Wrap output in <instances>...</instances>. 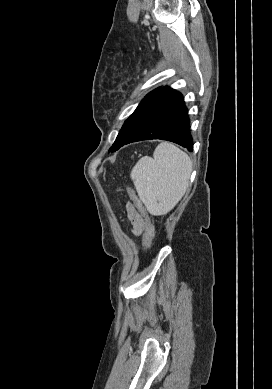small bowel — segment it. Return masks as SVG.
I'll return each instance as SVG.
<instances>
[{
	"label": "small bowel",
	"instance_id": "small-bowel-1",
	"mask_svg": "<svg viewBox=\"0 0 272 389\" xmlns=\"http://www.w3.org/2000/svg\"><path fill=\"white\" fill-rule=\"evenodd\" d=\"M127 215L129 221L131 223L132 232L135 235H140L144 230V220L137 207L132 203H128L127 207Z\"/></svg>",
	"mask_w": 272,
	"mask_h": 389
}]
</instances>
